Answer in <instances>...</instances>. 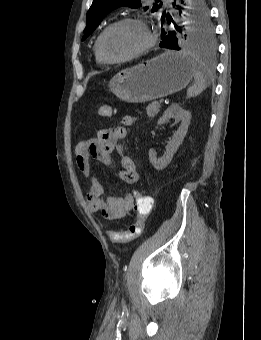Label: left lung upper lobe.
<instances>
[{"label":"left lung upper lobe","mask_w":261,"mask_h":340,"mask_svg":"<svg viewBox=\"0 0 261 340\" xmlns=\"http://www.w3.org/2000/svg\"><path fill=\"white\" fill-rule=\"evenodd\" d=\"M121 6L139 8L141 6V0H93L87 12V25L82 41L96 29L109 12ZM161 6L162 3L154 5L152 12ZM146 9H148V7H145V10ZM173 24L176 30H162L161 38L163 39L167 35L175 36L178 41L179 50L184 47L202 51H213L215 49L214 28L210 21L209 11L204 0H188L187 7L183 10L181 26H177L175 22Z\"/></svg>","instance_id":"1"}]
</instances>
